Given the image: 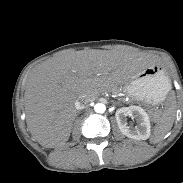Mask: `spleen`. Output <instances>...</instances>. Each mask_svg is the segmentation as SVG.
<instances>
[{
  "instance_id": "3e777b00",
  "label": "spleen",
  "mask_w": 183,
  "mask_h": 183,
  "mask_svg": "<svg viewBox=\"0 0 183 183\" xmlns=\"http://www.w3.org/2000/svg\"><path fill=\"white\" fill-rule=\"evenodd\" d=\"M145 80H136L133 84V88L136 89L143 85ZM171 90V84H169V91ZM176 115V102L172 96L168 99V106L162 113L158 123L153 128V134L151 137L152 143H158L166 134L171 130Z\"/></svg>"
}]
</instances>
